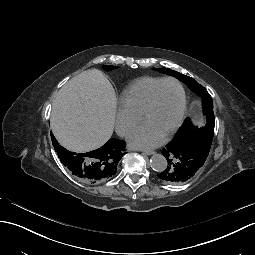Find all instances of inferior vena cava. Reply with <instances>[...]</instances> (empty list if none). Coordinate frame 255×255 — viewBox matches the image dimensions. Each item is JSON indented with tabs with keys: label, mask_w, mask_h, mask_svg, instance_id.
Returning a JSON list of instances; mask_svg holds the SVG:
<instances>
[{
	"label": "inferior vena cava",
	"mask_w": 255,
	"mask_h": 255,
	"mask_svg": "<svg viewBox=\"0 0 255 255\" xmlns=\"http://www.w3.org/2000/svg\"><path fill=\"white\" fill-rule=\"evenodd\" d=\"M125 132H126V129L121 130V132L119 133V135H120V136H124V135H125Z\"/></svg>",
	"instance_id": "obj_1"
}]
</instances>
